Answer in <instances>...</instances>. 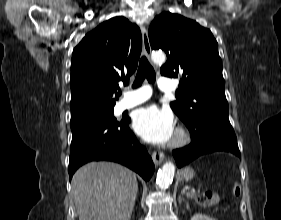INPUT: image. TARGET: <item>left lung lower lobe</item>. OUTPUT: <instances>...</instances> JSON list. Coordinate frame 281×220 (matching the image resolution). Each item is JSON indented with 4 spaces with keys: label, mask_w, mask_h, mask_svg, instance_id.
Returning a JSON list of instances; mask_svg holds the SVG:
<instances>
[{
    "label": "left lung lower lobe",
    "mask_w": 281,
    "mask_h": 220,
    "mask_svg": "<svg viewBox=\"0 0 281 220\" xmlns=\"http://www.w3.org/2000/svg\"><path fill=\"white\" fill-rule=\"evenodd\" d=\"M187 128L191 133V144L173 151L178 167H182L200 156L217 151L241 156L229 119L205 117Z\"/></svg>",
    "instance_id": "left-lung-lower-lobe-1"
}]
</instances>
